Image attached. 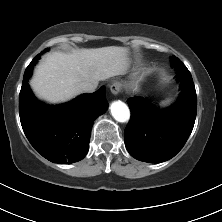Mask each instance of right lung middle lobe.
Returning a JSON list of instances; mask_svg holds the SVG:
<instances>
[{
    "mask_svg": "<svg viewBox=\"0 0 222 222\" xmlns=\"http://www.w3.org/2000/svg\"><path fill=\"white\" fill-rule=\"evenodd\" d=\"M48 49H45L44 51H47ZM40 56L38 55L35 59L32 60V62L30 63V65L27 67V70L25 71L26 77L29 78L31 76L32 73V68L34 66V64L36 63L37 59Z\"/></svg>",
    "mask_w": 222,
    "mask_h": 222,
    "instance_id": "1",
    "label": "right lung middle lobe"
}]
</instances>
